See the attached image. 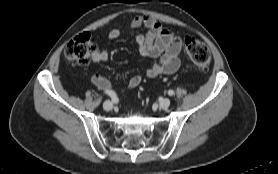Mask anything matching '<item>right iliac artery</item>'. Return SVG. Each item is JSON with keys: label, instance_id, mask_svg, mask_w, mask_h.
Returning <instances> with one entry per match:
<instances>
[{"label": "right iliac artery", "instance_id": "1", "mask_svg": "<svg viewBox=\"0 0 278 174\" xmlns=\"http://www.w3.org/2000/svg\"><path fill=\"white\" fill-rule=\"evenodd\" d=\"M106 94L112 98L113 102H115V103L118 102V98L116 97L114 92L108 91V92H106Z\"/></svg>", "mask_w": 278, "mask_h": 174}]
</instances>
